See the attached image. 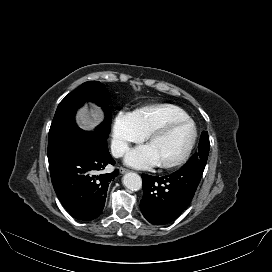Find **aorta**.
Masks as SVG:
<instances>
[{
  "mask_svg": "<svg viewBox=\"0 0 272 272\" xmlns=\"http://www.w3.org/2000/svg\"><path fill=\"white\" fill-rule=\"evenodd\" d=\"M123 184L132 191L140 190L142 187V179L135 172H128L123 176Z\"/></svg>",
  "mask_w": 272,
  "mask_h": 272,
  "instance_id": "aorta-1",
  "label": "aorta"
}]
</instances>
